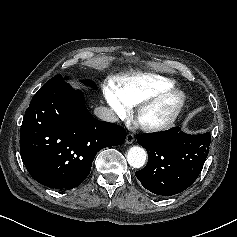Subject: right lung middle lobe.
<instances>
[{
	"instance_id": "1",
	"label": "right lung middle lobe",
	"mask_w": 237,
	"mask_h": 237,
	"mask_svg": "<svg viewBox=\"0 0 237 237\" xmlns=\"http://www.w3.org/2000/svg\"><path fill=\"white\" fill-rule=\"evenodd\" d=\"M58 80H64L63 77H62L60 74L54 76V77L51 78L49 81H58ZM86 84L95 87V85L93 84V82H90V81H88V80L86 81ZM95 88H96V87H95Z\"/></svg>"
}]
</instances>
